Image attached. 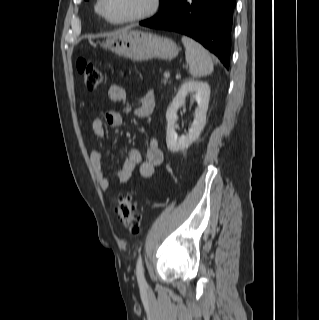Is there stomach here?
<instances>
[{
	"mask_svg": "<svg viewBox=\"0 0 319 320\" xmlns=\"http://www.w3.org/2000/svg\"><path fill=\"white\" fill-rule=\"evenodd\" d=\"M105 48L135 61L157 58L172 60L179 52L176 43L150 32L126 29L107 39Z\"/></svg>",
	"mask_w": 319,
	"mask_h": 320,
	"instance_id": "1",
	"label": "stomach"
}]
</instances>
